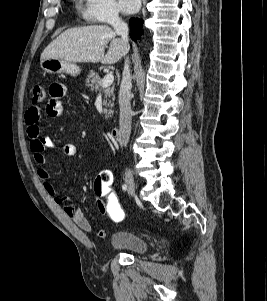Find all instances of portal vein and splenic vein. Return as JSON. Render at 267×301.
<instances>
[{"mask_svg":"<svg viewBox=\"0 0 267 301\" xmlns=\"http://www.w3.org/2000/svg\"><path fill=\"white\" fill-rule=\"evenodd\" d=\"M114 81V76L112 73H108L104 76L103 80H102V88H107L110 85H112Z\"/></svg>","mask_w":267,"mask_h":301,"instance_id":"1","label":"portal vein and splenic vein"}]
</instances>
